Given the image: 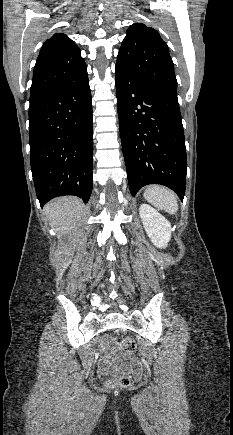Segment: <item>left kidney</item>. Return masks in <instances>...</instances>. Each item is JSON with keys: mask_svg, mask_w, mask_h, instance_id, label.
I'll return each mask as SVG.
<instances>
[{"mask_svg": "<svg viewBox=\"0 0 233 435\" xmlns=\"http://www.w3.org/2000/svg\"><path fill=\"white\" fill-rule=\"evenodd\" d=\"M140 217L151 242L158 248H166L171 239V225L156 209L141 204Z\"/></svg>", "mask_w": 233, "mask_h": 435, "instance_id": "left-kidney-1", "label": "left kidney"}]
</instances>
